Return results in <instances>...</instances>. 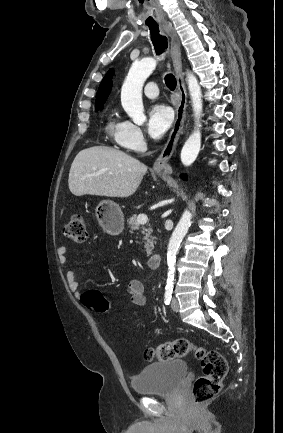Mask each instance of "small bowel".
Instances as JSON below:
<instances>
[{
  "label": "small bowel",
  "instance_id": "c3829d8e",
  "mask_svg": "<svg viewBox=\"0 0 283 433\" xmlns=\"http://www.w3.org/2000/svg\"><path fill=\"white\" fill-rule=\"evenodd\" d=\"M59 261L62 265L68 263V249L66 246H60L57 250ZM68 287L76 298L80 297L79 284L72 270L66 273ZM128 293L131 303L135 306L142 307L146 303L144 285L139 280H131L128 284Z\"/></svg>",
  "mask_w": 283,
  "mask_h": 433
}]
</instances>
